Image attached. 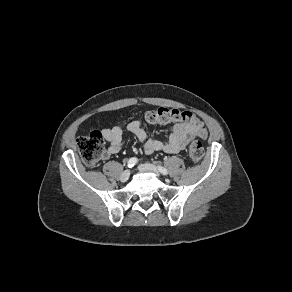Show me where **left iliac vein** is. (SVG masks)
<instances>
[{"label": "left iliac vein", "mask_w": 292, "mask_h": 292, "mask_svg": "<svg viewBox=\"0 0 292 292\" xmlns=\"http://www.w3.org/2000/svg\"><path fill=\"white\" fill-rule=\"evenodd\" d=\"M140 171H150L153 172L157 177H160V173L159 170L157 169L156 166L152 165V164H141L138 166Z\"/></svg>", "instance_id": "4c4485c4"}]
</instances>
